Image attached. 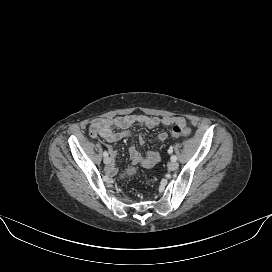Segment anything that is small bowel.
Instances as JSON below:
<instances>
[{"label": "small bowel", "mask_w": 272, "mask_h": 272, "mask_svg": "<svg viewBox=\"0 0 272 272\" xmlns=\"http://www.w3.org/2000/svg\"><path fill=\"white\" fill-rule=\"evenodd\" d=\"M176 124L186 126V121L179 116L151 117L145 115H125L94 120L90 124L89 134L92 138L100 136L107 142L113 143L124 137L131 136L127 129L133 125L155 128L161 125L170 126ZM116 129L120 131H116ZM167 137L168 134L166 132H160L157 136L160 141L166 140ZM143 142V137H140L139 143L142 144ZM110 155L113 159L116 156V151L113 148H110ZM129 156L133 164H139L144 168H151L160 161V154L157 151H148L145 155H141L134 145L129 149ZM108 171L110 174H114L117 169L111 166Z\"/></svg>", "instance_id": "obj_1"}]
</instances>
